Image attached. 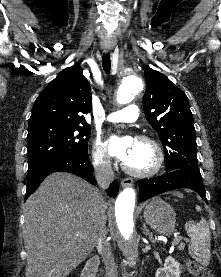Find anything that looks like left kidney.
Returning <instances> with one entry per match:
<instances>
[{
    "label": "left kidney",
    "mask_w": 221,
    "mask_h": 277,
    "mask_svg": "<svg viewBox=\"0 0 221 277\" xmlns=\"http://www.w3.org/2000/svg\"><path fill=\"white\" fill-rule=\"evenodd\" d=\"M181 265L173 257L165 259L164 267L157 269L155 277H180Z\"/></svg>",
    "instance_id": "5707ae66"
}]
</instances>
